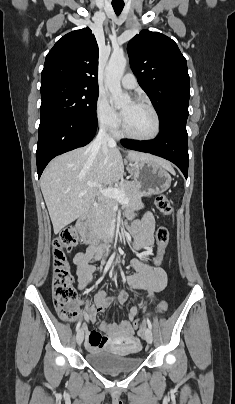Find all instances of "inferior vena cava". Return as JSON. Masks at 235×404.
Instances as JSON below:
<instances>
[{"label": "inferior vena cava", "instance_id": "inferior-vena-cava-1", "mask_svg": "<svg viewBox=\"0 0 235 404\" xmlns=\"http://www.w3.org/2000/svg\"><path fill=\"white\" fill-rule=\"evenodd\" d=\"M109 145H115V140L107 133L106 125H101L99 132L92 143V151H95L99 147H101L103 153L107 155ZM109 247L110 246L108 245L107 250L109 249Z\"/></svg>", "mask_w": 235, "mask_h": 404}]
</instances>
